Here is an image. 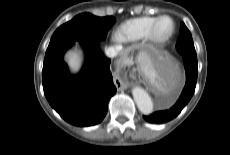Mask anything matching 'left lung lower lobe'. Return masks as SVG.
I'll return each mask as SVG.
<instances>
[{"instance_id": "1", "label": "left lung lower lobe", "mask_w": 230, "mask_h": 155, "mask_svg": "<svg viewBox=\"0 0 230 155\" xmlns=\"http://www.w3.org/2000/svg\"><path fill=\"white\" fill-rule=\"evenodd\" d=\"M181 55L183 57L185 71H186V83L179 99L168 110L157 111L150 115L143 116L145 121L154 124H161V123L168 122L173 118H175L191 99L195 91L197 75H198L197 55H196V51L195 53L190 52Z\"/></svg>"}]
</instances>
